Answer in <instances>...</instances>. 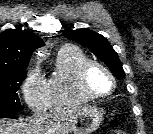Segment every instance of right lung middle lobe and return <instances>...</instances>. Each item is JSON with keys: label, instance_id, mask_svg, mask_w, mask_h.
<instances>
[{"label": "right lung middle lobe", "instance_id": "obj_1", "mask_svg": "<svg viewBox=\"0 0 153 134\" xmlns=\"http://www.w3.org/2000/svg\"><path fill=\"white\" fill-rule=\"evenodd\" d=\"M26 74V70L0 71V112L17 113L23 109L17 91Z\"/></svg>", "mask_w": 153, "mask_h": 134}]
</instances>
